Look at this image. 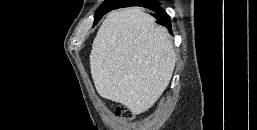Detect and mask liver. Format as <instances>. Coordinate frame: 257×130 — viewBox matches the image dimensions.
Segmentation results:
<instances>
[{
    "instance_id": "liver-1",
    "label": "liver",
    "mask_w": 257,
    "mask_h": 130,
    "mask_svg": "<svg viewBox=\"0 0 257 130\" xmlns=\"http://www.w3.org/2000/svg\"><path fill=\"white\" fill-rule=\"evenodd\" d=\"M176 63L168 30L139 7L110 12L92 44L90 68L103 98L132 113L151 108L167 88Z\"/></svg>"
}]
</instances>
